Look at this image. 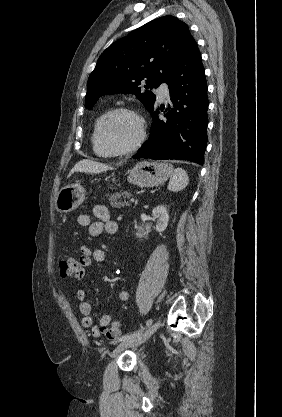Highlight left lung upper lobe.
Segmentation results:
<instances>
[{
  "mask_svg": "<svg viewBox=\"0 0 282 417\" xmlns=\"http://www.w3.org/2000/svg\"><path fill=\"white\" fill-rule=\"evenodd\" d=\"M194 41L187 24L174 16L157 18L112 43L99 57L87 83L85 105L91 109L105 94L134 93L150 111L151 89L164 82L186 46ZM147 90H142L141 81Z\"/></svg>",
  "mask_w": 282,
  "mask_h": 417,
  "instance_id": "obj_1",
  "label": "left lung upper lobe"
}]
</instances>
